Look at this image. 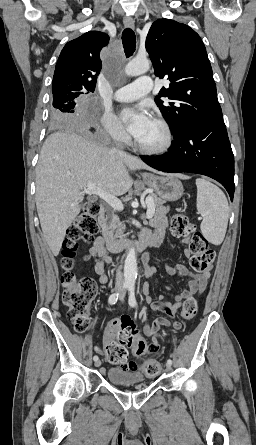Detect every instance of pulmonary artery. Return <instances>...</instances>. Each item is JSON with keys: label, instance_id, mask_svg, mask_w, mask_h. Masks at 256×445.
<instances>
[{"label": "pulmonary artery", "instance_id": "obj_1", "mask_svg": "<svg viewBox=\"0 0 256 445\" xmlns=\"http://www.w3.org/2000/svg\"><path fill=\"white\" fill-rule=\"evenodd\" d=\"M152 87L153 83L150 77H140L133 83L118 89L114 93V99L120 102L135 101L149 93Z\"/></svg>", "mask_w": 256, "mask_h": 445}]
</instances>
